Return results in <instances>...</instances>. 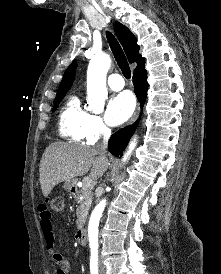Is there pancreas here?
<instances>
[{
    "label": "pancreas",
    "mask_w": 221,
    "mask_h": 274,
    "mask_svg": "<svg viewBox=\"0 0 221 274\" xmlns=\"http://www.w3.org/2000/svg\"><path fill=\"white\" fill-rule=\"evenodd\" d=\"M80 197H82L81 200L79 199ZM75 198L80 204L76 211V215H77L76 224L80 228L85 224V221L88 215V210L93 200V193L91 189L83 185L80 192L75 195Z\"/></svg>",
    "instance_id": "obj_1"
}]
</instances>
